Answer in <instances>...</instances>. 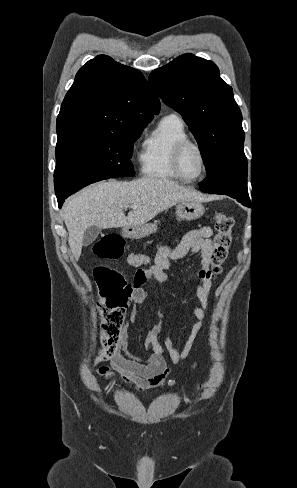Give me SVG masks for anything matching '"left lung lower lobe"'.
<instances>
[{"mask_svg": "<svg viewBox=\"0 0 297 488\" xmlns=\"http://www.w3.org/2000/svg\"><path fill=\"white\" fill-rule=\"evenodd\" d=\"M239 202H241L243 205L245 206H248L250 207L251 206V203H250V199L249 200H244V199H240V198H236Z\"/></svg>", "mask_w": 297, "mask_h": 488, "instance_id": "1", "label": "left lung lower lobe"}]
</instances>
